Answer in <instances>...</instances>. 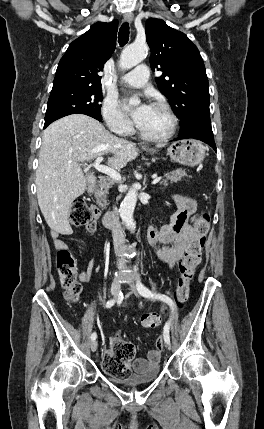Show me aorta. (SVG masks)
<instances>
[{
    "mask_svg": "<svg viewBox=\"0 0 264 429\" xmlns=\"http://www.w3.org/2000/svg\"><path fill=\"white\" fill-rule=\"evenodd\" d=\"M148 46L146 43H133L127 46L121 53L120 66L123 69H131L132 67L143 61L148 53ZM139 99L134 98L130 100L131 105H138ZM139 185L134 184L132 188L126 194L122 201L119 213L122 221L125 223L128 229L131 231L135 230L136 223L133 218V212L137 202V190Z\"/></svg>",
    "mask_w": 264,
    "mask_h": 429,
    "instance_id": "762f6f07",
    "label": "aorta"
}]
</instances>
